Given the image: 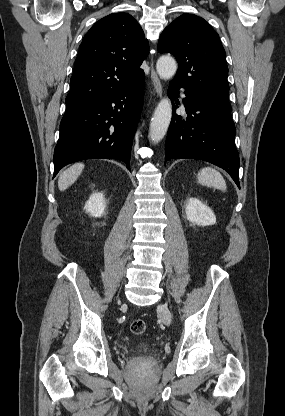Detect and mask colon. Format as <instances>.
<instances>
[{"instance_id":"colon-1","label":"colon","mask_w":285,"mask_h":416,"mask_svg":"<svg viewBox=\"0 0 285 416\" xmlns=\"http://www.w3.org/2000/svg\"><path fill=\"white\" fill-rule=\"evenodd\" d=\"M130 330L135 335H142L146 331V323L142 319H136L130 324Z\"/></svg>"}]
</instances>
